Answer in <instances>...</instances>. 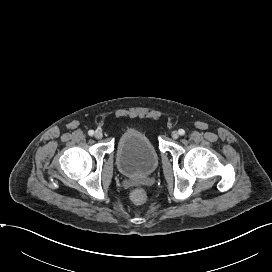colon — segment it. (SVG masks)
Listing matches in <instances>:
<instances>
[{"mask_svg": "<svg viewBox=\"0 0 272 272\" xmlns=\"http://www.w3.org/2000/svg\"><path fill=\"white\" fill-rule=\"evenodd\" d=\"M131 199L135 204H144L147 200L146 193L142 189H135L131 193Z\"/></svg>", "mask_w": 272, "mask_h": 272, "instance_id": "1", "label": "colon"}]
</instances>
